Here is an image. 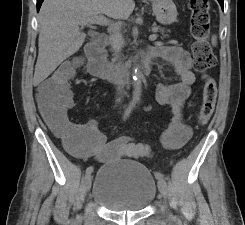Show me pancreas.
I'll return each mask as SVG.
<instances>
[{
	"label": "pancreas",
	"mask_w": 245,
	"mask_h": 225,
	"mask_svg": "<svg viewBox=\"0 0 245 225\" xmlns=\"http://www.w3.org/2000/svg\"><path fill=\"white\" fill-rule=\"evenodd\" d=\"M153 31L154 32L160 31L161 33H164V29L163 28H160L159 26H156V25L153 26Z\"/></svg>",
	"instance_id": "1"
}]
</instances>
